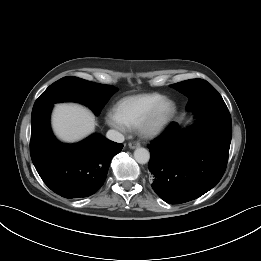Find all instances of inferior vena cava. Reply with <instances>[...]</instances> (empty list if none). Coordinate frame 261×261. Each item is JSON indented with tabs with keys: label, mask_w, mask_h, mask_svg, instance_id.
Segmentation results:
<instances>
[{
	"label": "inferior vena cava",
	"mask_w": 261,
	"mask_h": 261,
	"mask_svg": "<svg viewBox=\"0 0 261 261\" xmlns=\"http://www.w3.org/2000/svg\"><path fill=\"white\" fill-rule=\"evenodd\" d=\"M106 137L114 142L122 143L124 142V135L116 130H109L106 134Z\"/></svg>",
	"instance_id": "1"
}]
</instances>
